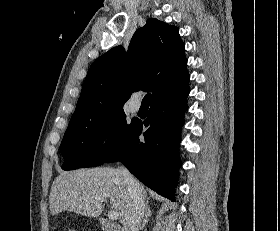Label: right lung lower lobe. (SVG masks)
Wrapping results in <instances>:
<instances>
[{"label":"right lung lower lobe","mask_w":280,"mask_h":231,"mask_svg":"<svg viewBox=\"0 0 280 231\" xmlns=\"http://www.w3.org/2000/svg\"><path fill=\"white\" fill-rule=\"evenodd\" d=\"M189 85L160 97L150 104L144 125L149 127L140 141L142 124H133L120 144L118 153L106 162L121 161L142 183L160 195L175 200L178 148Z\"/></svg>","instance_id":"98d812e1"}]
</instances>
